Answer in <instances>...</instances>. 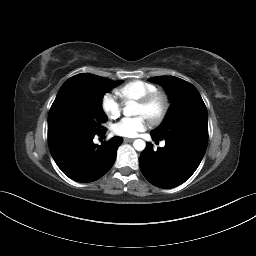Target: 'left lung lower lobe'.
Wrapping results in <instances>:
<instances>
[{
	"label": "left lung lower lobe",
	"instance_id": "0a47b994",
	"mask_svg": "<svg viewBox=\"0 0 256 256\" xmlns=\"http://www.w3.org/2000/svg\"><path fill=\"white\" fill-rule=\"evenodd\" d=\"M205 151L206 148L184 140H166L165 146L157 151L147 143L139 158L140 169L151 184L164 189L173 188L191 177Z\"/></svg>",
	"mask_w": 256,
	"mask_h": 256
}]
</instances>
